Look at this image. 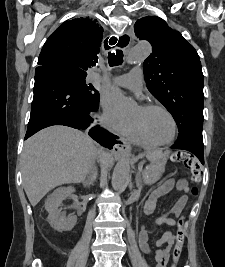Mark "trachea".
Returning <instances> with one entry per match:
<instances>
[{
  "label": "trachea",
  "instance_id": "obj_1",
  "mask_svg": "<svg viewBox=\"0 0 225 267\" xmlns=\"http://www.w3.org/2000/svg\"><path fill=\"white\" fill-rule=\"evenodd\" d=\"M111 39H113V40H112V42H110V44L114 45L117 42V38L116 37H112ZM122 39H123V37H122ZM120 42H121V40H119V43ZM108 62H109V65L111 67L118 66V65L122 64V62H123V52H122V50H116V52L109 53L108 54Z\"/></svg>",
  "mask_w": 225,
  "mask_h": 267
}]
</instances>
